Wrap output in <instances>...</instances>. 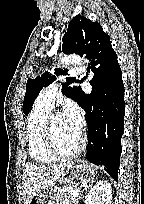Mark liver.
Wrapping results in <instances>:
<instances>
[{"label":"liver","mask_w":144,"mask_h":204,"mask_svg":"<svg viewBox=\"0 0 144 204\" xmlns=\"http://www.w3.org/2000/svg\"><path fill=\"white\" fill-rule=\"evenodd\" d=\"M73 162L67 161L53 165L29 164L24 170L23 198L24 204H29L31 198L40 187L52 184L60 179L65 168Z\"/></svg>","instance_id":"liver-1"}]
</instances>
